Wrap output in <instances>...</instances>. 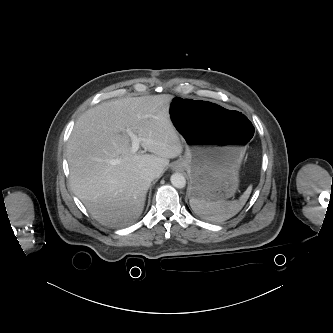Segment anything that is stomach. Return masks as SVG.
I'll return each mask as SVG.
<instances>
[{
	"label": "stomach",
	"mask_w": 333,
	"mask_h": 333,
	"mask_svg": "<svg viewBox=\"0 0 333 333\" xmlns=\"http://www.w3.org/2000/svg\"><path fill=\"white\" fill-rule=\"evenodd\" d=\"M170 120L191 157L188 196L206 201L234 196L251 122L237 109L204 99L176 97Z\"/></svg>",
	"instance_id": "1"
}]
</instances>
